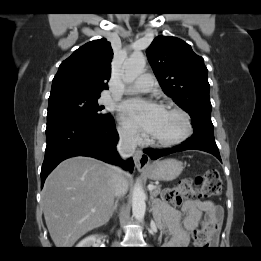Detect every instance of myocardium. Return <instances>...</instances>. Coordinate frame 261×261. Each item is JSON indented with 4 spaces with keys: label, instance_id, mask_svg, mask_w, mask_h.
I'll list each match as a JSON object with an SVG mask.
<instances>
[{
    "label": "myocardium",
    "instance_id": "myocardium-1",
    "mask_svg": "<svg viewBox=\"0 0 261 261\" xmlns=\"http://www.w3.org/2000/svg\"><path fill=\"white\" fill-rule=\"evenodd\" d=\"M165 110L170 111L181 118L182 121V131L176 137L171 139H150V143L155 146H162V147H172L183 143L187 140L193 131L192 121L189 114L184 111L182 108L174 105H168L165 107Z\"/></svg>",
    "mask_w": 261,
    "mask_h": 261
}]
</instances>
